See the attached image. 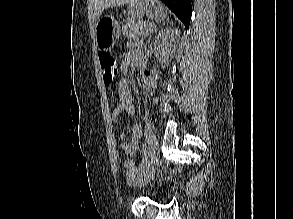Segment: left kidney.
<instances>
[{"label":"left kidney","instance_id":"1","mask_svg":"<svg viewBox=\"0 0 293 219\" xmlns=\"http://www.w3.org/2000/svg\"><path fill=\"white\" fill-rule=\"evenodd\" d=\"M180 38V31L176 28L162 29L155 37L154 52L164 69L175 55Z\"/></svg>","mask_w":293,"mask_h":219}]
</instances>
